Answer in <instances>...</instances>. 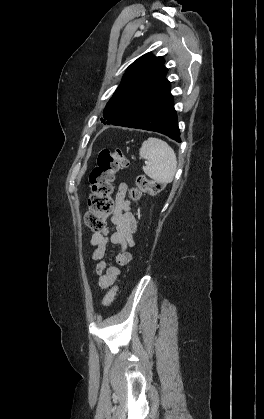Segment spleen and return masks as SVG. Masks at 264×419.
<instances>
[{
	"mask_svg": "<svg viewBox=\"0 0 264 419\" xmlns=\"http://www.w3.org/2000/svg\"><path fill=\"white\" fill-rule=\"evenodd\" d=\"M139 153L140 158L147 160L146 165L142 167L147 176L164 184L173 181L177 158L174 150L165 141L149 137L142 143Z\"/></svg>",
	"mask_w": 264,
	"mask_h": 419,
	"instance_id": "3e777b00",
	"label": "spleen"
}]
</instances>
